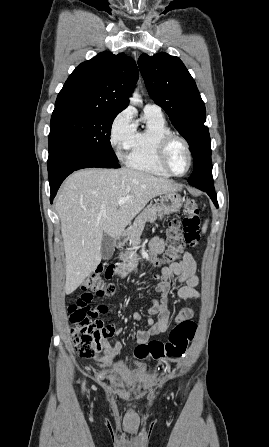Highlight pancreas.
Masks as SVG:
<instances>
[{
    "mask_svg": "<svg viewBox=\"0 0 269 447\" xmlns=\"http://www.w3.org/2000/svg\"><path fill=\"white\" fill-rule=\"evenodd\" d=\"M159 208H156V206H153V204H149L139 216H137L134 224L131 225L128 229V237L130 239V245L131 247H127V251H121L120 257L125 261L126 267H129V269H133V267H136L138 263V257L133 251V249H136L140 243V235L145 227L146 222H154L156 220L158 214Z\"/></svg>",
    "mask_w": 269,
    "mask_h": 447,
    "instance_id": "obj_1",
    "label": "pancreas"
}]
</instances>
